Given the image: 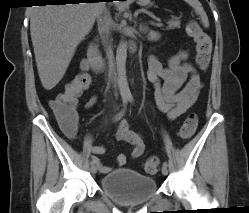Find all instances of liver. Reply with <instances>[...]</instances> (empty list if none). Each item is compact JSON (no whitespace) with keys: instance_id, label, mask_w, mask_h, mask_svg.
Here are the masks:
<instances>
[{"instance_id":"6515ba94","label":"liver","mask_w":249,"mask_h":213,"mask_svg":"<svg viewBox=\"0 0 249 213\" xmlns=\"http://www.w3.org/2000/svg\"><path fill=\"white\" fill-rule=\"evenodd\" d=\"M105 9V2L33 6L30 9V34L44 89L51 90L61 81L77 46Z\"/></svg>"}]
</instances>
